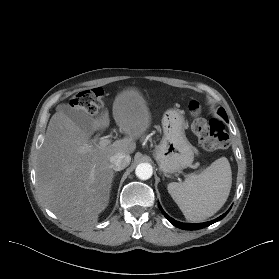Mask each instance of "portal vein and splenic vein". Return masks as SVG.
I'll list each match as a JSON object with an SVG mask.
<instances>
[{"instance_id": "obj_1", "label": "portal vein and splenic vein", "mask_w": 279, "mask_h": 279, "mask_svg": "<svg viewBox=\"0 0 279 279\" xmlns=\"http://www.w3.org/2000/svg\"><path fill=\"white\" fill-rule=\"evenodd\" d=\"M99 144L101 146H105V145L109 144V140L101 139ZM85 148L89 150V147H85Z\"/></svg>"}]
</instances>
